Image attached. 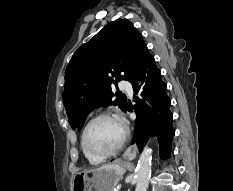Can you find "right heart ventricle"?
<instances>
[{
    "label": "right heart ventricle",
    "instance_id": "e07e8e85",
    "mask_svg": "<svg viewBox=\"0 0 233 191\" xmlns=\"http://www.w3.org/2000/svg\"><path fill=\"white\" fill-rule=\"evenodd\" d=\"M81 146H82V144H81ZM82 150H83V148H82ZM83 153H84L85 157H86L91 163H98V162H100V161L102 160V159L93 158V157L87 155V154L85 153L84 150H83Z\"/></svg>",
    "mask_w": 233,
    "mask_h": 191
}]
</instances>
